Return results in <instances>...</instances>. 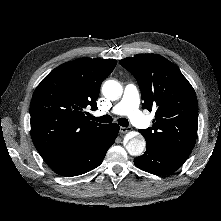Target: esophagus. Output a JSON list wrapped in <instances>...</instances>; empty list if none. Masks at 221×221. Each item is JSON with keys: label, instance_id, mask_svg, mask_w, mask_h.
<instances>
[{"label": "esophagus", "instance_id": "obj_1", "mask_svg": "<svg viewBox=\"0 0 221 221\" xmlns=\"http://www.w3.org/2000/svg\"><path fill=\"white\" fill-rule=\"evenodd\" d=\"M129 131H130V129L127 128V127H120V132H121V133H127V132H129Z\"/></svg>", "mask_w": 221, "mask_h": 221}]
</instances>
